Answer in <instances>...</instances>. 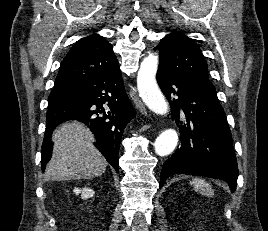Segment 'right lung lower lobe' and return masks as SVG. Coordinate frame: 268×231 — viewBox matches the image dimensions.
<instances>
[{"label":"right lung lower lobe","instance_id":"1","mask_svg":"<svg viewBox=\"0 0 268 231\" xmlns=\"http://www.w3.org/2000/svg\"><path fill=\"white\" fill-rule=\"evenodd\" d=\"M78 89L79 94L75 99L48 106L41 153L42 170L52 155L53 129L63 121L78 120L88 125L97 140L94 145L118 171L122 134L135 114L125 92L118 63Z\"/></svg>","mask_w":268,"mask_h":231}]
</instances>
